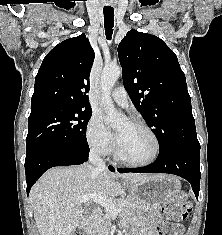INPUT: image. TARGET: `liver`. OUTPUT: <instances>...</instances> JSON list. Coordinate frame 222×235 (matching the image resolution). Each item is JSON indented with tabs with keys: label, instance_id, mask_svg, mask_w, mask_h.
Masks as SVG:
<instances>
[{
	"label": "liver",
	"instance_id": "6515ba94",
	"mask_svg": "<svg viewBox=\"0 0 222 235\" xmlns=\"http://www.w3.org/2000/svg\"><path fill=\"white\" fill-rule=\"evenodd\" d=\"M147 174H114L92 164L49 169L34 184L29 199L40 235H72L88 215L79 197L92 193L106 198L124 195L129 184L152 178ZM118 178L124 180L117 181Z\"/></svg>",
	"mask_w": 222,
	"mask_h": 235
}]
</instances>
